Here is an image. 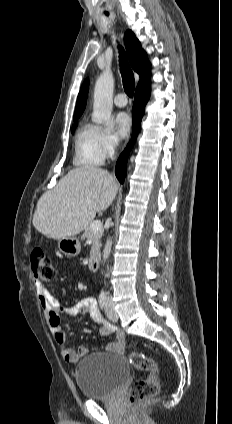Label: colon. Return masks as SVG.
I'll return each instance as SVG.
<instances>
[{
  "label": "colon",
  "mask_w": 232,
  "mask_h": 424,
  "mask_svg": "<svg viewBox=\"0 0 232 424\" xmlns=\"http://www.w3.org/2000/svg\"><path fill=\"white\" fill-rule=\"evenodd\" d=\"M31 267L35 279L50 282L56 276V270L50 257L42 250H33L30 256ZM131 364L148 375L134 381L129 388L128 398L131 404L157 395L160 385L159 367L157 362L140 352L129 354Z\"/></svg>",
  "instance_id": "colon-1"
}]
</instances>
